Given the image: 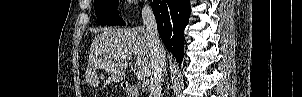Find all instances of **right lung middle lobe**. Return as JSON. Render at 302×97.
Wrapping results in <instances>:
<instances>
[{
    "label": "right lung middle lobe",
    "mask_w": 302,
    "mask_h": 97,
    "mask_svg": "<svg viewBox=\"0 0 302 97\" xmlns=\"http://www.w3.org/2000/svg\"><path fill=\"white\" fill-rule=\"evenodd\" d=\"M94 3L97 19L102 26L125 25L118 15V0H94Z\"/></svg>",
    "instance_id": "1"
}]
</instances>
